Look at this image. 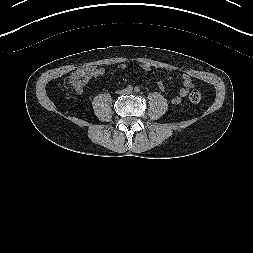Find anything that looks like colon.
I'll return each instance as SVG.
<instances>
[{
	"instance_id": "5ec220e1",
	"label": "colon",
	"mask_w": 253,
	"mask_h": 253,
	"mask_svg": "<svg viewBox=\"0 0 253 253\" xmlns=\"http://www.w3.org/2000/svg\"><path fill=\"white\" fill-rule=\"evenodd\" d=\"M90 76V69L82 68L75 72L70 78V85L76 90L78 88H82L85 82L88 80ZM202 98L201 92L198 89H193L189 94V99L198 103Z\"/></svg>"
}]
</instances>
